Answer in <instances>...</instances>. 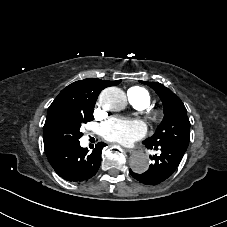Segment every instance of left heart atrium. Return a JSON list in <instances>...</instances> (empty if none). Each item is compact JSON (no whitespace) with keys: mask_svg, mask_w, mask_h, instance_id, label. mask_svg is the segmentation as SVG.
Returning a JSON list of instances; mask_svg holds the SVG:
<instances>
[{"mask_svg":"<svg viewBox=\"0 0 227 227\" xmlns=\"http://www.w3.org/2000/svg\"><path fill=\"white\" fill-rule=\"evenodd\" d=\"M106 140L121 145H130L142 139L147 132L146 124L140 119L109 118L101 125Z\"/></svg>","mask_w":227,"mask_h":227,"instance_id":"1","label":"left heart atrium"}]
</instances>
